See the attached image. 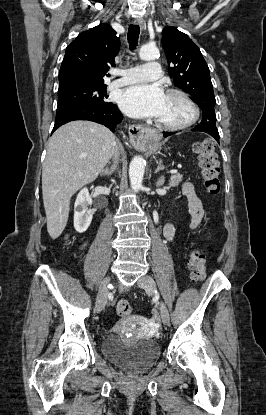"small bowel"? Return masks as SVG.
I'll list each match as a JSON object with an SVG mask.
<instances>
[{
    "label": "small bowel",
    "instance_id": "small-bowel-1",
    "mask_svg": "<svg viewBox=\"0 0 266 415\" xmlns=\"http://www.w3.org/2000/svg\"><path fill=\"white\" fill-rule=\"evenodd\" d=\"M182 192L186 200V205L191 216L190 227L197 228L203 218L204 210L201 200L197 197L193 185L186 182L182 186ZM163 234L167 241L171 242L175 236V227L171 223L165 224ZM85 245H83L84 247Z\"/></svg>",
    "mask_w": 266,
    "mask_h": 415
}]
</instances>
